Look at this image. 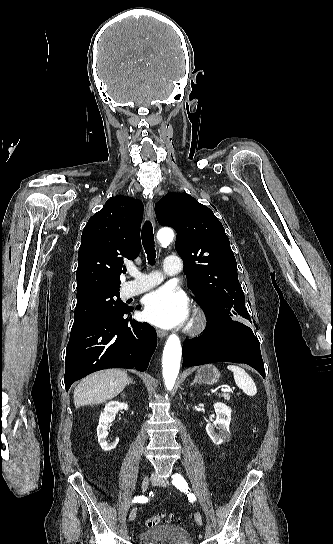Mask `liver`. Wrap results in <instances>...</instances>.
Segmentation results:
<instances>
[{"mask_svg":"<svg viewBox=\"0 0 333 544\" xmlns=\"http://www.w3.org/2000/svg\"><path fill=\"white\" fill-rule=\"evenodd\" d=\"M129 382L127 372L107 369L85 377L74 390L76 408L100 404L120 394Z\"/></svg>","mask_w":333,"mask_h":544,"instance_id":"1","label":"liver"}]
</instances>
